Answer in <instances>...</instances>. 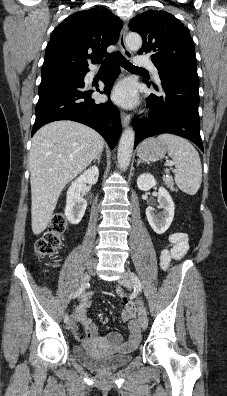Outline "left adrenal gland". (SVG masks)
<instances>
[{
  "mask_svg": "<svg viewBox=\"0 0 227 396\" xmlns=\"http://www.w3.org/2000/svg\"><path fill=\"white\" fill-rule=\"evenodd\" d=\"M141 163H142V161H141V160H138L137 166H139V164H141Z\"/></svg>",
  "mask_w": 227,
  "mask_h": 396,
  "instance_id": "obj_1",
  "label": "left adrenal gland"
}]
</instances>
